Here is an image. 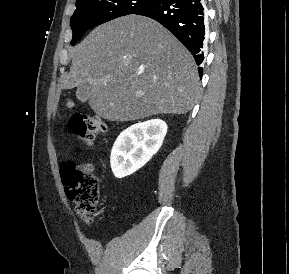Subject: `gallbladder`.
Returning a JSON list of instances; mask_svg holds the SVG:
<instances>
[{
    "label": "gallbladder",
    "mask_w": 289,
    "mask_h": 274,
    "mask_svg": "<svg viewBox=\"0 0 289 274\" xmlns=\"http://www.w3.org/2000/svg\"><path fill=\"white\" fill-rule=\"evenodd\" d=\"M91 90V86L89 84H83L78 87L76 91V96L81 101H86L88 99L89 93Z\"/></svg>",
    "instance_id": "obj_1"
}]
</instances>
